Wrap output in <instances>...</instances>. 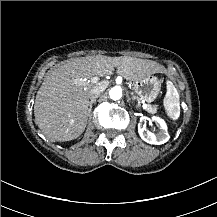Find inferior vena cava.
<instances>
[{"mask_svg":"<svg viewBox=\"0 0 217 217\" xmlns=\"http://www.w3.org/2000/svg\"><path fill=\"white\" fill-rule=\"evenodd\" d=\"M108 86V81H102L97 83L94 87H92L89 91V98L91 100L96 99Z\"/></svg>","mask_w":217,"mask_h":217,"instance_id":"obj_1","label":"inferior vena cava"}]
</instances>
